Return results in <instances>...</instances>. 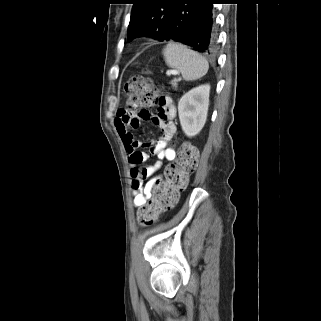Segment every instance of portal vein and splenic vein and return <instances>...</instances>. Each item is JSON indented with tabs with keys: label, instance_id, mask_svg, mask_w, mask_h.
I'll list each match as a JSON object with an SVG mask.
<instances>
[{
	"label": "portal vein and splenic vein",
	"instance_id": "1",
	"mask_svg": "<svg viewBox=\"0 0 321 321\" xmlns=\"http://www.w3.org/2000/svg\"><path fill=\"white\" fill-rule=\"evenodd\" d=\"M166 74L169 76V75H178L179 74V72L178 71H176V70H167V72H166Z\"/></svg>",
	"mask_w": 321,
	"mask_h": 321
}]
</instances>
